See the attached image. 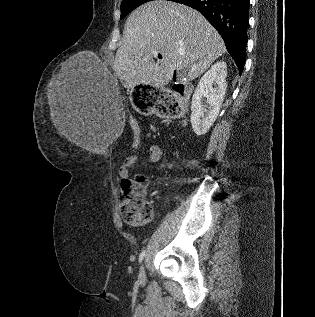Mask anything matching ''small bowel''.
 Here are the masks:
<instances>
[{
	"instance_id": "c3829d8e",
	"label": "small bowel",
	"mask_w": 315,
	"mask_h": 317,
	"mask_svg": "<svg viewBox=\"0 0 315 317\" xmlns=\"http://www.w3.org/2000/svg\"><path fill=\"white\" fill-rule=\"evenodd\" d=\"M138 158L139 155L136 153L131 154L125 158V160L119 168V175L122 181L131 178L133 173L142 166L137 164ZM163 159L164 153L162 149L156 144L151 145L149 148L146 164H154L162 161Z\"/></svg>"
}]
</instances>
